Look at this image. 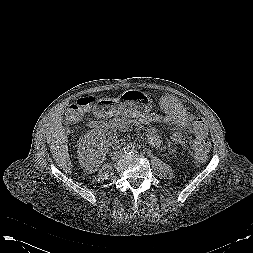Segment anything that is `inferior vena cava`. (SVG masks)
<instances>
[{
    "label": "inferior vena cava",
    "mask_w": 253,
    "mask_h": 253,
    "mask_svg": "<svg viewBox=\"0 0 253 253\" xmlns=\"http://www.w3.org/2000/svg\"><path fill=\"white\" fill-rule=\"evenodd\" d=\"M122 157V153L121 152H115L114 155H113V159L114 160H118Z\"/></svg>",
    "instance_id": "1"
}]
</instances>
